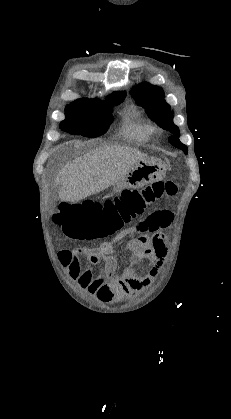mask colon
<instances>
[{
	"instance_id": "colon-1",
	"label": "colon",
	"mask_w": 231,
	"mask_h": 419,
	"mask_svg": "<svg viewBox=\"0 0 231 419\" xmlns=\"http://www.w3.org/2000/svg\"><path fill=\"white\" fill-rule=\"evenodd\" d=\"M176 185L172 181L155 182L141 189H126L113 198L87 204L60 205L58 222L72 237L101 240L114 235L124 225L142 215L151 204L172 196ZM64 252H60V257Z\"/></svg>"
}]
</instances>
